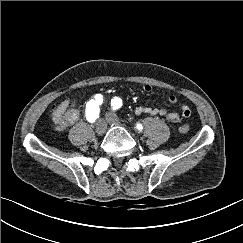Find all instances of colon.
<instances>
[{"instance_id":"obj_1","label":"colon","mask_w":243,"mask_h":243,"mask_svg":"<svg viewBox=\"0 0 243 243\" xmlns=\"http://www.w3.org/2000/svg\"><path fill=\"white\" fill-rule=\"evenodd\" d=\"M78 117L79 112L73 105L66 109L63 113H60L57 110L54 112V119L58 129H63L66 126L74 123L78 119ZM189 129L190 126L187 123H183L179 126V131L182 133L188 132Z\"/></svg>"}]
</instances>
